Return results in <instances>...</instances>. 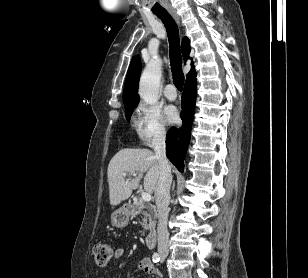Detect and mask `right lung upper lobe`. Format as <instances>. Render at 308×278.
Returning <instances> with one entry per match:
<instances>
[{"label":"right lung upper lobe","mask_w":308,"mask_h":278,"mask_svg":"<svg viewBox=\"0 0 308 278\" xmlns=\"http://www.w3.org/2000/svg\"><path fill=\"white\" fill-rule=\"evenodd\" d=\"M190 51H191V48H190L189 39L184 37L182 40V54H183L184 61L189 59ZM191 67H192L191 71L187 75V80L190 79L191 77L196 76L193 62H191ZM140 72H141V61H140V57L136 55L130 63V66L127 72L126 81H125L124 94H123V101H124L125 107L129 105L137 106L139 102L137 88H138Z\"/></svg>","instance_id":"cb5924a9"}]
</instances>
